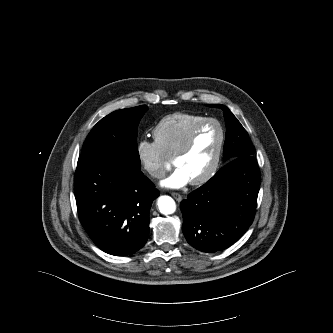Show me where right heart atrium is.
<instances>
[{
  "label": "right heart atrium",
  "instance_id": "obj_1",
  "mask_svg": "<svg viewBox=\"0 0 333 333\" xmlns=\"http://www.w3.org/2000/svg\"><path fill=\"white\" fill-rule=\"evenodd\" d=\"M136 155L144 171L154 179L163 177L167 160L155 141L141 139L136 145Z\"/></svg>",
  "mask_w": 333,
  "mask_h": 333
}]
</instances>
